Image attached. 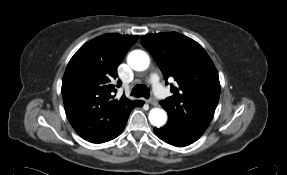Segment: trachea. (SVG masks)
Segmentation results:
<instances>
[{
  "label": "trachea",
  "instance_id": "obj_1",
  "mask_svg": "<svg viewBox=\"0 0 287 175\" xmlns=\"http://www.w3.org/2000/svg\"><path fill=\"white\" fill-rule=\"evenodd\" d=\"M131 95L134 97H145L149 98V89L143 84H137L133 87Z\"/></svg>",
  "mask_w": 287,
  "mask_h": 175
}]
</instances>
